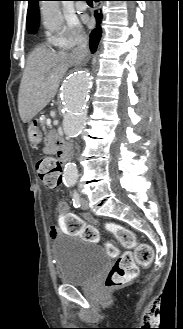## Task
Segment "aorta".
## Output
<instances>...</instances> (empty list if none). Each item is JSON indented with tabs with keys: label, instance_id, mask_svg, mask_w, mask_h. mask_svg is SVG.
<instances>
[{
	"label": "aorta",
	"instance_id": "aorta-1",
	"mask_svg": "<svg viewBox=\"0 0 183 329\" xmlns=\"http://www.w3.org/2000/svg\"><path fill=\"white\" fill-rule=\"evenodd\" d=\"M43 25L57 31L62 27L63 18L57 2L43 1L41 4ZM93 88V77L88 71L77 70L66 79L62 93L63 131L67 137H77L83 130L87 119V102ZM78 178L74 163H67L63 181L66 186H73Z\"/></svg>",
	"mask_w": 183,
	"mask_h": 329
}]
</instances>
